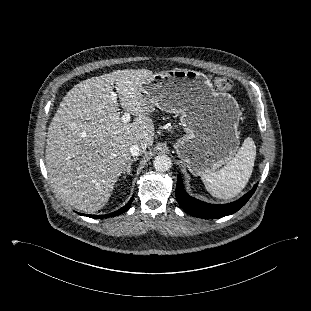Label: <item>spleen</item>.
<instances>
[{
  "mask_svg": "<svg viewBox=\"0 0 311 311\" xmlns=\"http://www.w3.org/2000/svg\"><path fill=\"white\" fill-rule=\"evenodd\" d=\"M255 157V143L248 137L236 155L223 168L201 176L207 191L213 197L223 200L237 196L252 175Z\"/></svg>",
  "mask_w": 311,
  "mask_h": 311,
  "instance_id": "3e777b00",
  "label": "spleen"
}]
</instances>
